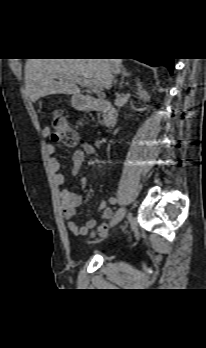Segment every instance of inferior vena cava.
Returning <instances> with one entry per match:
<instances>
[{"instance_id": "602c4592", "label": "inferior vena cava", "mask_w": 206, "mask_h": 348, "mask_svg": "<svg viewBox=\"0 0 206 348\" xmlns=\"http://www.w3.org/2000/svg\"><path fill=\"white\" fill-rule=\"evenodd\" d=\"M118 72H119V70L114 71V75H116ZM112 80H113L114 84H116L117 80L114 78V76H113Z\"/></svg>"}]
</instances>
